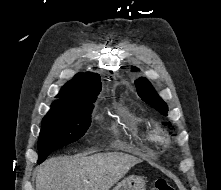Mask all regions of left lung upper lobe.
Wrapping results in <instances>:
<instances>
[{"instance_id": "obj_1", "label": "left lung upper lobe", "mask_w": 221, "mask_h": 190, "mask_svg": "<svg viewBox=\"0 0 221 190\" xmlns=\"http://www.w3.org/2000/svg\"><path fill=\"white\" fill-rule=\"evenodd\" d=\"M137 93L139 97L147 104L154 107L161 114L167 116L168 106L159 97L156 91L153 89L151 83L145 78H140L135 81ZM170 124V123H169Z\"/></svg>"}]
</instances>
